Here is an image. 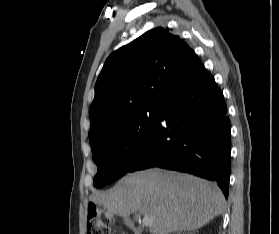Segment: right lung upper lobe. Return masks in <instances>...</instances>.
<instances>
[{"label":"right lung upper lobe","mask_w":279,"mask_h":234,"mask_svg":"<svg viewBox=\"0 0 279 234\" xmlns=\"http://www.w3.org/2000/svg\"><path fill=\"white\" fill-rule=\"evenodd\" d=\"M201 66L187 43L164 27L147 31L113 52L95 86L90 143L108 134L127 115L161 108Z\"/></svg>","instance_id":"obj_1"}]
</instances>
